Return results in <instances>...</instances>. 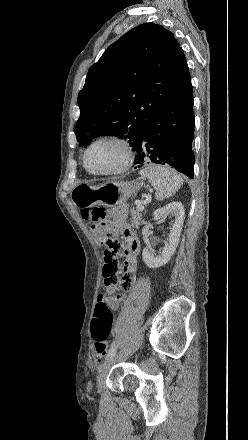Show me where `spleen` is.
Segmentation results:
<instances>
[{
  "instance_id": "1",
  "label": "spleen",
  "mask_w": 248,
  "mask_h": 440,
  "mask_svg": "<svg viewBox=\"0 0 248 440\" xmlns=\"http://www.w3.org/2000/svg\"><path fill=\"white\" fill-rule=\"evenodd\" d=\"M139 174L146 177L154 187L157 200L171 197L183 185L181 176L169 167L151 165L140 170Z\"/></svg>"
}]
</instances>
